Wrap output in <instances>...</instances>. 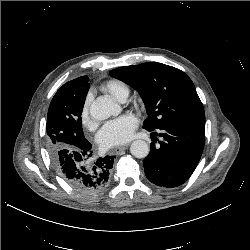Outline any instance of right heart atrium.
<instances>
[{"mask_svg": "<svg viewBox=\"0 0 250 250\" xmlns=\"http://www.w3.org/2000/svg\"><path fill=\"white\" fill-rule=\"evenodd\" d=\"M89 108H90V98L87 97L81 111V120L85 127L91 129L94 126V123L92 121Z\"/></svg>", "mask_w": 250, "mask_h": 250, "instance_id": "obj_1", "label": "right heart atrium"}]
</instances>
